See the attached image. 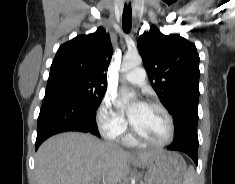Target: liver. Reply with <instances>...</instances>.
Segmentation results:
<instances>
[{
	"label": "liver",
	"mask_w": 235,
	"mask_h": 184,
	"mask_svg": "<svg viewBox=\"0 0 235 184\" xmlns=\"http://www.w3.org/2000/svg\"><path fill=\"white\" fill-rule=\"evenodd\" d=\"M157 152H139V164ZM130 152L111 142H101L91 134L65 132L46 140L35 158L37 184H118L127 174Z\"/></svg>",
	"instance_id": "liver-1"
}]
</instances>
